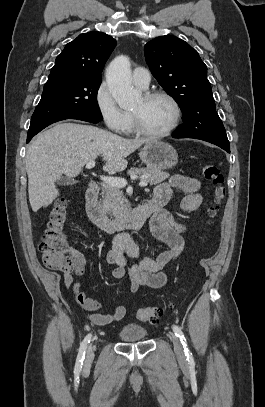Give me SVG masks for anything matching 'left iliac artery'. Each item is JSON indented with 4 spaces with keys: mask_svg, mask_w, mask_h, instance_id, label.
Segmentation results:
<instances>
[{
    "mask_svg": "<svg viewBox=\"0 0 265 407\" xmlns=\"http://www.w3.org/2000/svg\"><path fill=\"white\" fill-rule=\"evenodd\" d=\"M172 329H173L175 335L178 336L180 338V340H181V343H182V345L184 347V352H185V355L187 357V360L189 362H194L192 353L190 352V350L188 348H186V346H187L186 338L184 336L183 331L178 326H175V325H173Z\"/></svg>",
    "mask_w": 265,
    "mask_h": 407,
    "instance_id": "obj_1",
    "label": "left iliac artery"
}]
</instances>
